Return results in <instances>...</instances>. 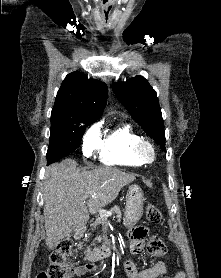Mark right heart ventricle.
<instances>
[{
    "mask_svg": "<svg viewBox=\"0 0 221 278\" xmlns=\"http://www.w3.org/2000/svg\"><path fill=\"white\" fill-rule=\"evenodd\" d=\"M141 137L129 124H119L108 130L98 146V156L105 165L141 166L133 154V146Z\"/></svg>",
    "mask_w": 221,
    "mask_h": 278,
    "instance_id": "obj_1",
    "label": "right heart ventricle"
}]
</instances>
